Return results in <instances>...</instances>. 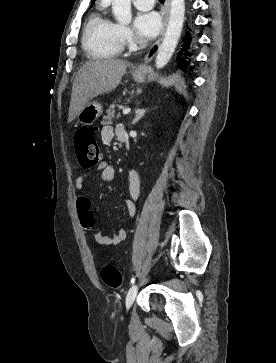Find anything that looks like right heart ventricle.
<instances>
[{
	"mask_svg": "<svg viewBox=\"0 0 276 363\" xmlns=\"http://www.w3.org/2000/svg\"><path fill=\"white\" fill-rule=\"evenodd\" d=\"M82 44L87 54L94 59H109L119 55L123 49L119 24L100 12L92 14L85 26Z\"/></svg>",
	"mask_w": 276,
	"mask_h": 363,
	"instance_id": "e07e8e85",
	"label": "right heart ventricle"
}]
</instances>
